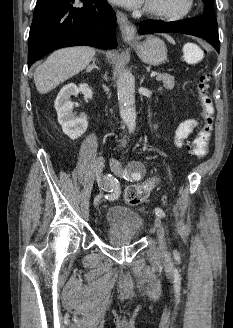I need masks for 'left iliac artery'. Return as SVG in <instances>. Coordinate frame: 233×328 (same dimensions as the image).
Returning a JSON list of instances; mask_svg holds the SVG:
<instances>
[{
	"label": "left iliac artery",
	"mask_w": 233,
	"mask_h": 328,
	"mask_svg": "<svg viewBox=\"0 0 233 328\" xmlns=\"http://www.w3.org/2000/svg\"><path fill=\"white\" fill-rule=\"evenodd\" d=\"M131 178L133 180H139L141 178V174L139 172H134L132 173ZM155 214L161 218H164L166 216L165 212L161 208H156Z\"/></svg>",
	"instance_id": "1"
}]
</instances>
